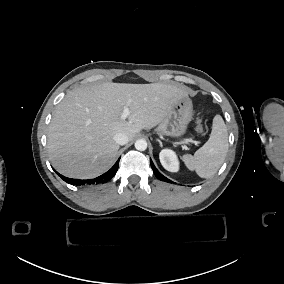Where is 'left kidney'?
I'll list each match as a JSON object with an SVG mask.
<instances>
[{"label": "left kidney", "instance_id": "left-kidney-1", "mask_svg": "<svg viewBox=\"0 0 284 284\" xmlns=\"http://www.w3.org/2000/svg\"><path fill=\"white\" fill-rule=\"evenodd\" d=\"M162 166L171 172L177 171L178 165L174 153L171 150H162L160 153Z\"/></svg>", "mask_w": 284, "mask_h": 284}]
</instances>
